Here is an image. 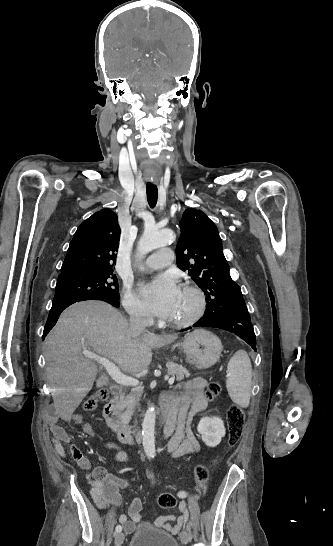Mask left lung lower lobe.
I'll return each mask as SVG.
<instances>
[{
	"label": "left lung lower lobe",
	"instance_id": "obj_1",
	"mask_svg": "<svg viewBox=\"0 0 333 546\" xmlns=\"http://www.w3.org/2000/svg\"><path fill=\"white\" fill-rule=\"evenodd\" d=\"M194 327H215L230 331L246 341L256 351V336L246 305L223 308L221 312L205 314L201 320L194 324Z\"/></svg>",
	"mask_w": 333,
	"mask_h": 546
}]
</instances>
